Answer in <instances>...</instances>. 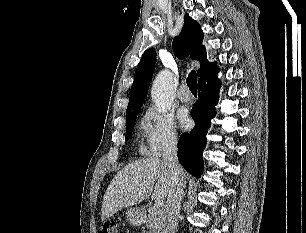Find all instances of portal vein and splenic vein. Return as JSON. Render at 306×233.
I'll return each mask as SVG.
<instances>
[{
	"mask_svg": "<svg viewBox=\"0 0 306 233\" xmlns=\"http://www.w3.org/2000/svg\"><path fill=\"white\" fill-rule=\"evenodd\" d=\"M163 205H164V202H163V200L162 199H156L155 201H154V206H153V208L154 209H162V207H163Z\"/></svg>",
	"mask_w": 306,
	"mask_h": 233,
	"instance_id": "obj_1",
	"label": "portal vein and splenic vein"
}]
</instances>
